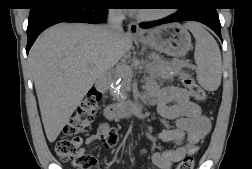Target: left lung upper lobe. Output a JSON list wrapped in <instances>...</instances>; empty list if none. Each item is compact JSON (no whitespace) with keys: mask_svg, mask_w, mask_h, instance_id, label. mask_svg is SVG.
I'll use <instances>...</instances> for the list:
<instances>
[{"mask_svg":"<svg viewBox=\"0 0 252 169\" xmlns=\"http://www.w3.org/2000/svg\"><path fill=\"white\" fill-rule=\"evenodd\" d=\"M209 2H212V0H183L179 4V6H181V8H179V10L191 9L197 5H204Z\"/></svg>","mask_w":252,"mask_h":169,"instance_id":"obj_1","label":"left lung upper lobe"}]
</instances>
